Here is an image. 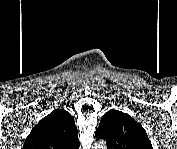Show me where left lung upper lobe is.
<instances>
[{
  "mask_svg": "<svg viewBox=\"0 0 177 149\" xmlns=\"http://www.w3.org/2000/svg\"><path fill=\"white\" fill-rule=\"evenodd\" d=\"M95 134L107 141L109 149H152L144 128L119 110L107 111Z\"/></svg>",
  "mask_w": 177,
  "mask_h": 149,
  "instance_id": "1",
  "label": "left lung upper lobe"
}]
</instances>
